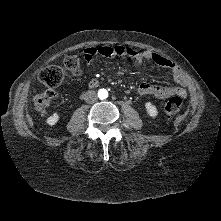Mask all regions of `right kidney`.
Segmentation results:
<instances>
[{
  "mask_svg": "<svg viewBox=\"0 0 221 221\" xmlns=\"http://www.w3.org/2000/svg\"><path fill=\"white\" fill-rule=\"evenodd\" d=\"M59 114L57 113H54L53 115L49 116L47 119H46V123L49 125V126H53L55 125L58 121H59Z\"/></svg>",
  "mask_w": 221,
  "mask_h": 221,
  "instance_id": "1",
  "label": "right kidney"
}]
</instances>
